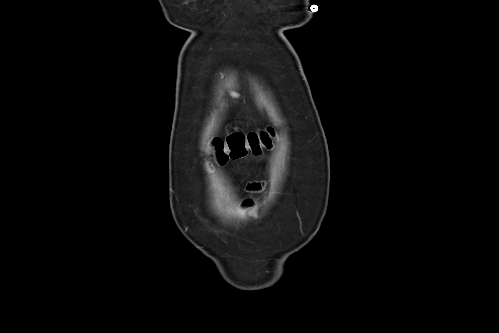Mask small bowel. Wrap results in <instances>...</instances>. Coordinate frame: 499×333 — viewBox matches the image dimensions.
I'll return each mask as SVG.
<instances>
[{
	"label": "small bowel",
	"mask_w": 499,
	"mask_h": 333,
	"mask_svg": "<svg viewBox=\"0 0 499 333\" xmlns=\"http://www.w3.org/2000/svg\"><path fill=\"white\" fill-rule=\"evenodd\" d=\"M252 189L257 190V189H259V186H253Z\"/></svg>",
	"instance_id": "small-bowel-1"
}]
</instances>
